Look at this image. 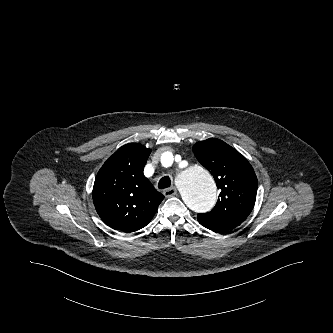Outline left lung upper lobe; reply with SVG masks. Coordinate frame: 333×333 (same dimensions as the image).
<instances>
[{"label": "left lung upper lobe", "instance_id": "obj_1", "mask_svg": "<svg viewBox=\"0 0 333 333\" xmlns=\"http://www.w3.org/2000/svg\"><path fill=\"white\" fill-rule=\"evenodd\" d=\"M197 160L211 172L220 194L215 207L198 214L204 227L224 232L241 224L252 211L257 193V177L247 159L237 150L216 138L196 143Z\"/></svg>", "mask_w": 333, "mask_h": 333}]
</instances>
